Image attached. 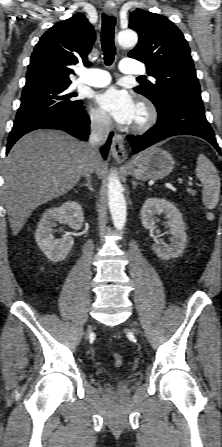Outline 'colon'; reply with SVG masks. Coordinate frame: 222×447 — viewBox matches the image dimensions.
<instances>
[{"mask_svg": "<svg viewBox=\"0 0 222 447\" xmlns=\"http://www.w3.org/2000/svg\"><path fill=\"white\" fill-rule=\"evenodd\" d=\"M112 361H113V365L115 367L121 366V364H122V357H121V355H119L118 353H114L112 355Z\"/></svg>", "mask_w": 222, "mask_h": 447, "instance_id": "obj_1", "label": "colon"}]
</instances>
